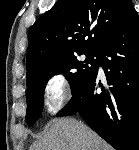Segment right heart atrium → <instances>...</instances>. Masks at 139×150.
<instances>
[{"label":"right heart atrium","mask_w":139,"mask_h":150,"mask_svg":"<svg viewBox=\"0 0 139 150\" xmlns=\"http://www.w3.org/2000/svg\"><path fill=\"white\" fill-rule=\"evenodd\" d=\"M69 99V84L62 74L51 75L44 87V106L49 113L60 111Z\"/></svg>","instance_id":"right-heart-atrium-1"}]
</instances>
